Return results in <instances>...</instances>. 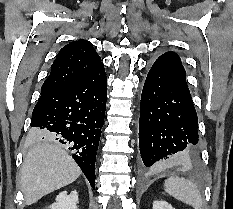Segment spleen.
<instances>
[{"label": "spleen", "instance_id": "obj_1", "mask_svg": "<svg viewBox=\"0 0 233 209\" xmlns=\"http://www.w3.org/2000/svg\"><path fill=\"white\" fill-rule=\"evenodd\" d=\"M165 191L176 199L192 206L194 209H202V198L196 185L181 177H170L165 180Z\"/></svg>", "mask_w": 233, "mask_h": 209}]
</instances>
